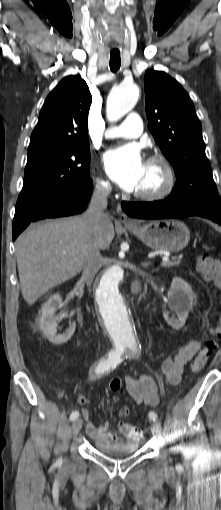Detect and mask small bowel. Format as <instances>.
Returning a JSON list of instances; mask_svg holds the SVG:
<instances>
[{
	"instance_id": "c3829d8e",
	"label": "small bowel",
	"mask_w": 221,
	"mask_h": 510,
	"mask_svg": "<svg viewBox=\"0 0 221 510\" xmlns=\"http://www.w3.org/2000/svg\"><path fill=\"white\" fill-rule=\"evenodd\" d=\"M214 332L215 329L211 328L204 337L193 340L182 346L174 356L167 357L163 361L162 371L166 381L170 385L176 386L180 383L185 365L189 363L200 350L204 340L214 334ZM125 389L137 403L147 406H156L159 402L157 383L149 375H140L138 377L127 376L125 378ZM77 401L86 406L82 411V415L86 421V431L94 441L113 442L120 439V437L133 439L127 430L130 426L125 422L119 424V434L110 432L109 421H105L96 426L92 419V412L87 407L89 399L80 395L77 397Z\"/></svg>"
}]
</instances>
